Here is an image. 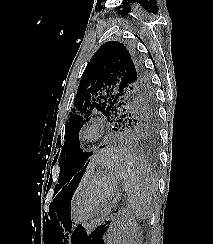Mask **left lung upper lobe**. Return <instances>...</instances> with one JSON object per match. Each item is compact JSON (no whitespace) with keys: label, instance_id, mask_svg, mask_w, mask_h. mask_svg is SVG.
Wrapping results in <instances>:
<instances>
[{"label":"left lung upper lobe","instance_id":"1","mask_svg":"<svg viewBox=\"0 0 213 244\" xmlns=\"http://www.w3.org/2000/svg\"><path fill=\"white\" fill-rule=\"evenodd\" d=\"M74 106L66 122L67 143L60 154L59 184L74 175L78 156L83 152L79 131L90 120L93 109L113 126L119 125V129L123 127L137 138L150 141L157 136V106L150 77L138 56L123 43L108 41L95 52L81 77Z\"/></svg>","mask_w":213,"mask_h":244}]
</instances>
